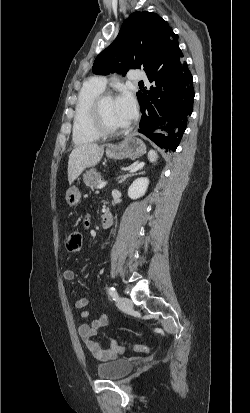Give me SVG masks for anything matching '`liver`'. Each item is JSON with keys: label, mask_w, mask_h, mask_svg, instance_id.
Masks as SVG:
<instances>
[{"label": "liver", "mask_w": 250, "mask_h": 413, "mask_svg": "<svg viewBox=\"0 0 250 413\" xmlns=\"http://www.w3.org/2000/svg\"><path fill=\"white\" fill-rule=\"evenodd\" d=\"M104 145L86 143L76 146L69 155L68 181L71 184L88 167L95 166L101 160Z\"/></svg>", "instance_id": "obj_1"}]
</instances>
